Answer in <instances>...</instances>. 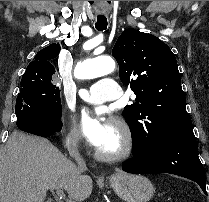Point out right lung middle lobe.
<instances>
[{"label": "right lung middle lobe", "mask_w": 209, "mask_h": 202, "mask_svg": "<svg viewBox=\"0 0 209 202\" xmlns=\"http://www.w3.org/2000/svg\"><path fill=\"white\" fill-rule=\"evenodd\" d=\"M50 74L22 76L21 89L16 100L15 114L36 112L51 117L62 114L59 88L52 82Z\"/></svg>", "instance_id": "1"}]
</instances>
